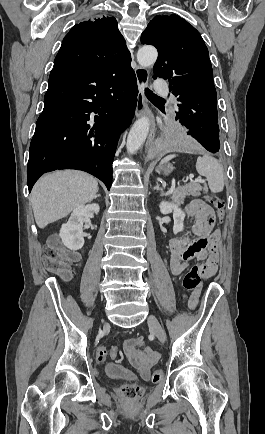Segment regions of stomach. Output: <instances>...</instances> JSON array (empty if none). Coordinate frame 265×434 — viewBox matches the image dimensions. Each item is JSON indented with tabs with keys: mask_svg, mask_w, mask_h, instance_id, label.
<instances>
[{
	"mask_svg": "<svg viewBox=\"0 0 265 434\" xmlns=\"http://www.w3.org/2000/svg\"><path fill=\"white\" fill-rule=\"evenodd\" d=\"M172 170H173L172 164H166V166H164V168H159V170H157V172H164V174H170V172H172Z\"/></svg>",
	"mask_w": 265,
	"mask_h": 434,
	"instance_id": "obj_1",
	"label": "stomach"
}]
</instances>
